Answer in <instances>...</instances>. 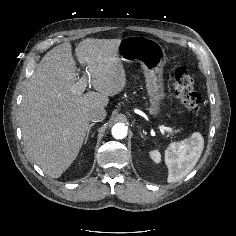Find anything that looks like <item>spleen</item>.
<instances>
[{"mask_svg":"<svg viewBox=\"0 0 236 236\" xmlns=\"http://www.w3.org/2000/svg\"><path fill=\"white\" fill-rule=\"evenodd\" d=\"M204 148V138L199 132L180 142L171 143L165 150V162L169 169V183L183 179L196 165ZM155 162H160L161 154L158 150L150 152Z\"/></svg>","mask_w":236,"mask_h":236,"instance_id":"spleen-1","label":"spleen"}]
</instances>
